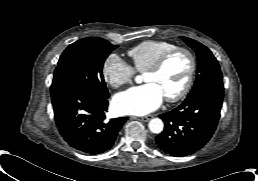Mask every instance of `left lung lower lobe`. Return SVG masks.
<instances>
[{"label":"left lung lower lobe","instance_id":"left-lung-lower-lobe-1","mask_svg":"<svg viewBox=\"0 0 258 181\" xmlns=\"http://www.w3.org/2000/svg\"><path fill=\"white\" fill-rule=\"evenodd\" d=\"M223 102L222 90H208L186 99L174 110L160 115L164 131L156 137L157 145L175 157L193 154L213 135Z\"/></svg>","mask_w":258,"mask_h":181}]
</instances>
